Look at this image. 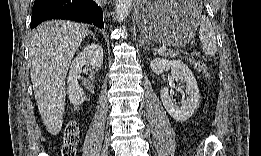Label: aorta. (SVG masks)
<instances>
[{
  "instance_id": "obj_1",
  "label": "aorta",
  "mask_w": 261,
  "mask_h": 156,
  "mask_svg": "<svg viewBox=\"0 0 261 156\" xmlns=\"http://www.w3.org/2000/svg\"><path fill=\"white\" fill-rule=\"evenodd\" d=\"M132 0H116L115 12L117 21L123 22L129 15L132 8Z\"/></svg>"
}]
</instances>
